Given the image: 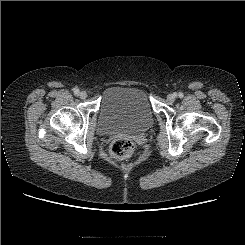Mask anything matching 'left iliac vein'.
<instances>
[{"label": "left iliac vein", "instance_id": "obj_1", "mask_svg": "<svg viewBox=\"0 0 245 245\" xmlns=\"http://www.w3.org/2000/svg\"><path fill=\"white\" fill-rule=\"evenodd\" d=\"M167 99H168V101H170V102H174L175 99H176V95H175V94H169V95L167 96Z\"/></svg>", "mask_w": 245, "mask_h": 245}]
</instances>
